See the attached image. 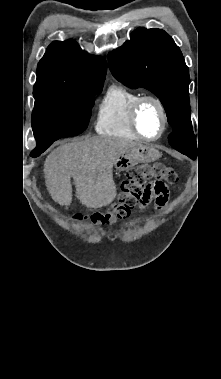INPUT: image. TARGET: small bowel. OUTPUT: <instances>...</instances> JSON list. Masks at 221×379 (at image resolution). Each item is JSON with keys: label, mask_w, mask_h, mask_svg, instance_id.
Masks as SVG:
<instances>
[{"label": "small bowel", "mask_w": 221, "mask_h": 379, "mask_svg": "<svg viewBox=\"0 0 221 379\" xmlns=\"http://www.w3.org/2000/svg\"><path fill=\"white\" fill-rule=\"evenodd\" d=\"M155 199L156 201V204L158 205V207H162L165 205V203L167 202L168 200V192H166L165 194H162L160 196L158 195H149V196H146L140 203H139V207L140 209H144L146 208V206L153 200Z\"/></svg>", "instance_id": "1"}]
</instances>
